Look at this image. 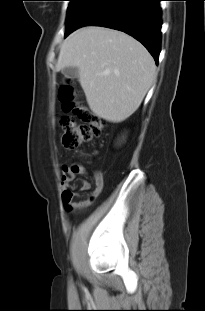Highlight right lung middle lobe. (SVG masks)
Instances as JSON below:
<instances>
[{
    "label": "right lung middle lobe",
    "mask_w": 205,
    "mask_h": 311,
    "mask_svg": "<svg viewBox=\"0 0 205 311\" xmlns=\"http://www.w3.org/2000/svg\"><path fill=\"white\" fill-rule=\"evenodd\" d=\"M67 19H66V31L65 35L69 32L70 28L73 26L74 22L83 12L85 6L90 0H69Z\"/></svg>",
    "instance_id": "obj_1"
}]
</instances>
